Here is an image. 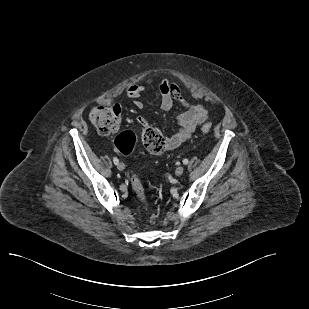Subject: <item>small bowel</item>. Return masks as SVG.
Returning <instances> with one entry per match:
<instances>
[{"label":"small bowel","mask_w":309,"mask_h":309,"mask_svg":"<svg viewBox=\"0 0 309 309\" xmlns=\"http://www.w3.org/2000/svg\"><path fill=\"white\" fill-rule=\"evenodd\" d=\"M157 89L161 95V108L170 110L177 103L181 107L177 115V131L165 141V149L173 150L191 137L193 132L208 119V110L201 104L192 105L181 95L179 85L169 79L163 78L158 81L149 78L142 84H133L126 89V95L133 101L134 105L142 109L144 107L141 97L145 92ZM141 127L148 126L147 120L140 116L137 119Z\"/></svg>","instance_id":"obj_1"}]
</instances>
